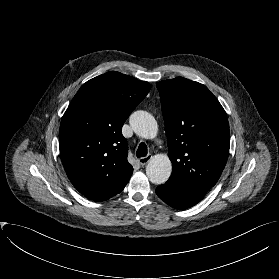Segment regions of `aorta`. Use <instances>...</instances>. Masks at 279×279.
Masks as SVG:
<instances>
[{"label": "aorta", "mask_w": 279, "mask_h": 279, "mask_svg": "<svg viewBox=\"0 0 279 279\" xmlns=\"http://www.w3.org/2000/svg\"><path fill=\"white\" fill-rule=\"evenodd\" d=\"M133 131L145 139H153L158 132L155 118L146 111H136L130 117ZM172 172V163L166 155L154 156L146 166V174L154 184H164Z\"/></svg>", "instance_id": "762f6f07"}]
</instances>
